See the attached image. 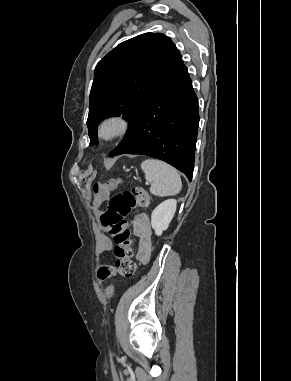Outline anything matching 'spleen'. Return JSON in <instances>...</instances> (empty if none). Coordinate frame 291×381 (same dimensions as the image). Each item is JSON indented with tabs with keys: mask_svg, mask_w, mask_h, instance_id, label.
<instances>
[{
	"mask_svg": "<svg viewBox=\"0 0 291 381\" xmlns=\"http://www.w3.org/2000/svg\"><path fill=\"white\" fill-rule=\"evenodd\" d=\"M141 168L145 173V179L151 183L150 192L153 195L174 196L180 192L181 178L171 165L157 159H146Z\"/></svg>",
	"mask_w": 291,
	"mask_h": 381,
	"instance_id": "1",
	"label": "spleen"
}]
</instances>
